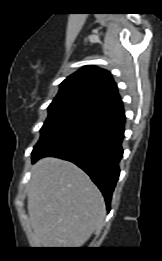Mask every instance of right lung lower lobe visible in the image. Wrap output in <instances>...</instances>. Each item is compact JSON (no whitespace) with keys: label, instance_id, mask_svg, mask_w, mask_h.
<instances>
[{"label":"right lung lower lobe","instance_id":"1","mask_svg":"<svg viewBox=\"0 0 162 261\" xmlns=\"http://www.w3.org/2000/svg\"><path fill=\"white\" fill-rule=\"evenodd\" d=\"M125 114L119 99L63 126L32 152V161L53 156L83 169L101 190L107 210L123 155Z\"/></svg>","mask_w":162,"mask_h":261}]
</instances>
